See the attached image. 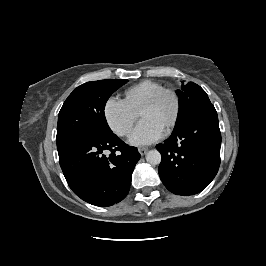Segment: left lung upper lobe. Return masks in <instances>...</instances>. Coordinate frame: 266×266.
Returning a JSON list of instances; mask_svg holds the SVG:
<instances>
[{"label":"left lung upper lobe","mask_w":266,"mask_h":266,"mask_svg":"<svg viewBox=\"0 0 266 266\" xmlns=\"http://www.w3.org/2000/svg\"><path fill=\"white\" fill-rule=\"evenodd\" d=\"M180 101V111L175 128L180 126L190 115L200 108L211 104L206 92L197 84L190 82L182 85L181 90H177Z\"/></svg>","instance_id":"1"}]
</instances>
